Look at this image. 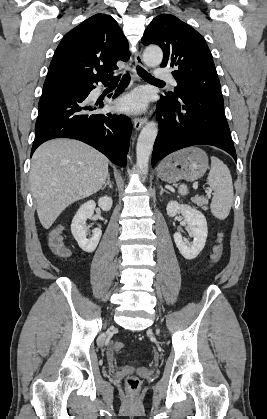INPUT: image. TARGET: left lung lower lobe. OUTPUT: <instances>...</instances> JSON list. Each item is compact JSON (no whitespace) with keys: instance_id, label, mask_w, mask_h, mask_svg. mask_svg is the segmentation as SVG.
<instances>
[{"instance_id":"0a47b994","label":"left lung lower lobe","mask_w":267,"mask_h":419,"mask_svg":"<svg viewBox=\"0 0 267 419\" xmlns=\"http://www.w3.org/2000/svg\"><path fill=\"white\" fill-rule=\"evenodd\" d=\"M157 118L160 129L154 143L152 166L176 150L201 144L223 149L237 161L221 91L203 90L178 100L161 96Z\"/></svg>"}]
</instances>
